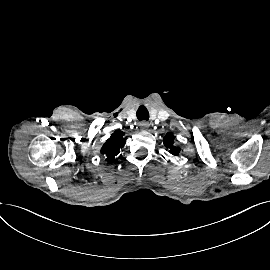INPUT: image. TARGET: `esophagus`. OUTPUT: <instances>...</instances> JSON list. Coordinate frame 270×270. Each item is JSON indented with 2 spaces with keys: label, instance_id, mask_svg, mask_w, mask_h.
<instances>
[{
  "label": "esophagus",
  "instance_id": "1",
  "mask_svg": "<svg viewBox=\"0 0 270 270\" xmlns=\"http://www.w3.org/2000/svg\"><path fill=\"white\" fill-rule=\"evenodd\" d=\"M150 124L147 121H142L140 123V127L142 130H147L149 128Z\"/></svg>",
  "mask_w": 270,
  "mask_h": 270
}]
</instances>
